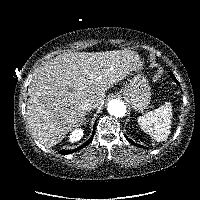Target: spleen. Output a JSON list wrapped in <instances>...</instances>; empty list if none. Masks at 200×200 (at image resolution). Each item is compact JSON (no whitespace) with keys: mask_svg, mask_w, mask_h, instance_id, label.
Here are the masks:
<instances>
[{"mask_svg":"<svg viewBox=\"0 0 200 200\" xmlns=\"http://www.w3.org/2000/svg\"><path fill=\"white\" fill-rule=\"evenodd\" d=\"M172 106L170 102L138 117L140 128L157 142L165 141L171 129Z\"/></svg>","mask_w":200,"mask_h":200,"instance_id":"3e777b00","label":"spleen"}]
</instances>
